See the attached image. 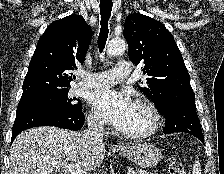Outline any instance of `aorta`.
Returning a JSON list of instances; mask_svg holds the SVG:
<instances>
[{"instance_id": "obj_1", "label": "aorta", "mask_w": 224, "mask_h": 174, "mask_svg": "<svg viewBox=\"0 0 224 174\" xmlns=\"http://www.w3.org/2000/svg\"><path fill=\"white\" fill-rule=\"evenodd\" d=\"M126 49V42L121 38H115L109 41L107 45V54L110 56L120 55Z\"/></svg>"}]
</instances>
